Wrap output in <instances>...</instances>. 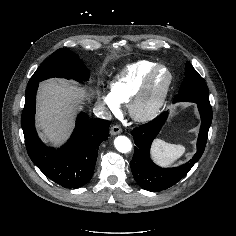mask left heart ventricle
<instances>
[{
	"instance_id": "left-heart-ventricle-1",
	"label": "left heart ventricle",
	"mask_w": 236,
	"mask_h": 236,
	"mask_svg": "<svg viewBox=\"0 0 236 236\" xmlns=\"http://www.w3.org/2000/svg\"><path fill=\"white\" fill-rule=\"evenodd\" d=\"M165 81H166V73L164 71L159 72L155 76L150 86V90H149L148 97L145 102V106L150 105L158 97V95L162 91Z\"/></svg>"
}]
</instances>
